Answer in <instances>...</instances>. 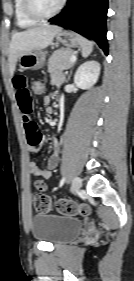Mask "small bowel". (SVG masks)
<instances>
[{"label":"small bowel","instance_id":"obj_1","mask_svg":"<svg viewBox=\"0 0 134 281\" xmlns=\"http://www.w3.org/2000/svg\"><path fill=\"white\" fill-rule=\"evenodd\" d=\"M64 81V75L55 72L52 75V83L55 86L60 85ZM12 86L15 90L16 101L21 111L22 121L26 133L28 149L35 153L37 147L45 142L44 136L38 130L36 122L32 119L33 110L32 92L29 78L19 73L12 77ZM50 98L45 97V102H49ZM53 153L50 155L46 168H40L35 161L28 163L29 172L37 177L51 178L53 170L58 166L60 161V144L56 138L52 139Z\"/></svg>","mask_w":134,"mask_h":281}]
</instances>
